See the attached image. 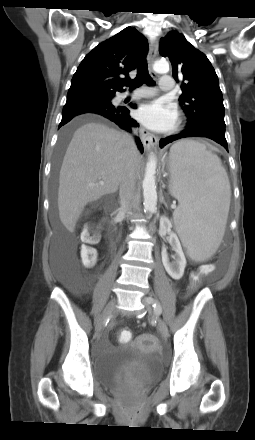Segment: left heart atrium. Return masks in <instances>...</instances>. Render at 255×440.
Returning a JSON list of instances; mask_svg holds the SVG:
<instances>
[{
    "mask_svg": "<svg viewBox=\"0 0 255 440\" xmlns=\"http://www.w3.org/2000/svg\"><path fill=\"white\" fill-rule=\"evenodd\" d=\"M138 120L146 127L156 131L170 129L176 121V111L170 105L153 101L142 105L137 111Z\"/></svg>",
    "mask_w": 255,
    "mask_h": 440,
    "instance_id": "left-heart-atrium-1",
    "label": "left heart atrium"
}]
</instances>
